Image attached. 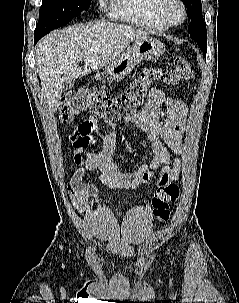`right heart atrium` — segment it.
<instances>
[{"label":"right heart atrium","instance_id":"obj_1","mask_svg":"<svg viewBox=\"0 0 239 303\" xmlns=\"http://www.w3.org/2000/svg\"><path fill=\"white\" fill-rule=\"evenodd\" d=\"M105 1H106V0H100V5H101V6H104Z\"/></svg>","mask_w":239,"mask_h":303}]
</instances>
